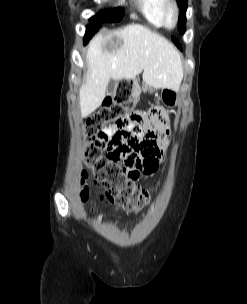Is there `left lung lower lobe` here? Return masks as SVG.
Wrapping results in <instances>:
<instances>
[{
	"label": "left lung lower lobe",
	"mask_w": 247,
	"mask_h": 304,
	"mask_svg": "<svg viewBox=\"0 0 247 304\" xmlns=\"http://www.w3.org/2000/svg\"><path fill=\"white\" fill-rule=\"evenodd\" d=\"M173 41L175 42V44L181 49V46L178 44V42L176 41L175 38H173Z\"/></svg>",
	"instance_id": "0a47b994"
}]
</instances>
